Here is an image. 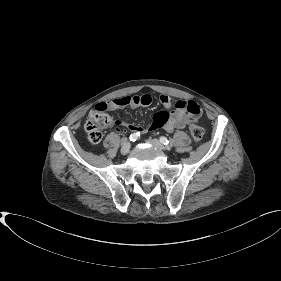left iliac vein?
<instances>
[{
	"label": "left iliac vein",
	"instance_id": "left-iliac-vein-1",
	"mask_svg": "<svg viewBox=\"0 0 281 281\" xmlns=\"http://www.w3.org/2000/svg\"><path fill=\"white\" fill-rule=\"evenodd\" d=\"M147 142L152 144L153 146L157 147L160 150H164V146L157 139H148ZM167 148L170 149V147H167Z\"/></svg>",
	"mask_w": 281,
	"mask_h": 281
}]
</instances>
